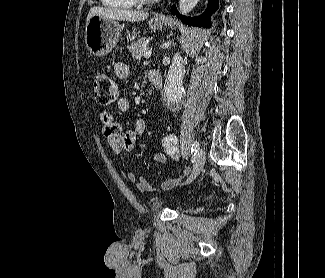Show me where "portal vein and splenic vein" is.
Wrapping results in <instances>:
<instances>
[{
	"mask_svg": "<svg viewBox=\"0 0 325 278\" xmlns=\"http://www.w3.org/2000/svg\"><path fill=\"white\" fill-rule=\"evenodd\" d=\"M151 54H152V51L151 50H148L145 52L144 54V57L147 59V58H150L151 57Z\"/></svg>",
	"mask_w": 325,
	"mask_h": 278,
	"instance_id": "1",
	"label": "portal vein and splenic vein"
}]
</instances>
